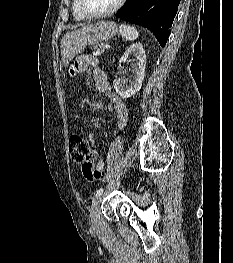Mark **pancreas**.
Here are the masks:
<instances>
[{
	"label": "pancreas",
	"mask_w": 233,
	"mask_h": 263,
	"mask_svg": "<svg viewBox=\"0 0 233 263\" xmlns=\"http://www.w3.org/2000/svg\"><path fill=\"white\" fill-rule=\"evenodd\" d=\"M104 48V44L102 43V44H99V45H96V46H94V50L95 51H97V50H100V49H103Z\"/></svg>",
	"instance_id": "cf45deb5"
}]
</instances>
